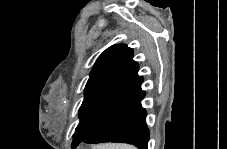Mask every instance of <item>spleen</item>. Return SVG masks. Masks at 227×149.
Returning <instances> with one entry per match:
<instances>
[{"label":"spleen","instance_id":"obj_1","mask_svg":"<svg viewBox=\"0 0 227 149\" xmlns=\"http://www.w3.org/2000/svg\"><path fill=\"white\" fill-rule=\"evenodd\" d=\"M103 149H135V148L130 145L113 144V145H106L103 147Z\"/></svg>","mask_w":227,"mask_h":149}]
</instances>
